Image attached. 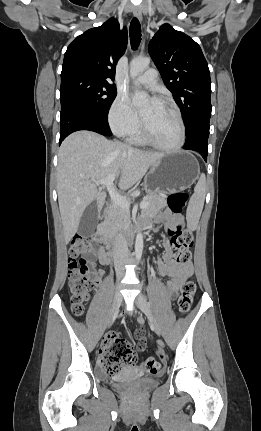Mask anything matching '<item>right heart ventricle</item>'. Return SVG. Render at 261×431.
<instances>
[{
  "label": "right heart ventricle",
  "instance_id": "1",
  "mask_svg": "<svg viewBox=\"0 0 261 431\" xmlns=\"http://www.w3.org/2000/svg\"><path fill=\"white\" fill-rule=\"evenodd\" d=\"M135 134V133H134ZM133 141L134 142H136V143H139V144H142V143H144V139L141 137V135L140 134H138V133H136L134 136H133Z\"/></svg>",
  "mask_w": 261,
  "mask_h": 431
}]
</instances>
